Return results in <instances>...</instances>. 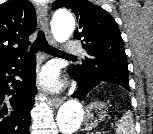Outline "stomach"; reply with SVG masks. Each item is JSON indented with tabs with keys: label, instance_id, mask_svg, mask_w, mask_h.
Listing matches in <instances>:
<instances>
[{
	"label": "stomach",
	"instance_id": "0dacf381",
	"mask_svg": "<svg viewBox=\"0 0 153 134\" xmlns=\"http://www.w3.org/2000/svg\"><path fill=\"white\" fill-rule=\"evenodd\" d=\"M108 116L107 106L102 102H93L86 108V126L94 128Z\"/></svg>",
	"mask_w": 153,
	"mask_h": 134
}]
</instances>
